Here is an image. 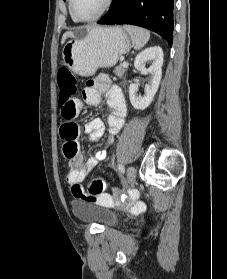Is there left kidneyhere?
Instances as JSON below:
<instances>
[{
  "instance_id": "1",
  "label": "left kidney",
  "mask_w": 227,
  "mask_h": 279,
  "mask_svg": "<svg viewBox=\"0 0 227 279\" xmlns=\"http://www.w3.org/2000/svg\"><path fill=\"white\" fill-rule=\"evenodd\" d=\"M146 61H152V65L148 69L145 67ZM162 65L163 51L159 46L147 48L136 56L134 61L135 69L143 75L149 73L151 80L145 85V94L143 96L137 94L139 90L137 84H130L129 99L135 109L144 110L151 104L161 81Z\"/></svg>"
}]
</instances>
